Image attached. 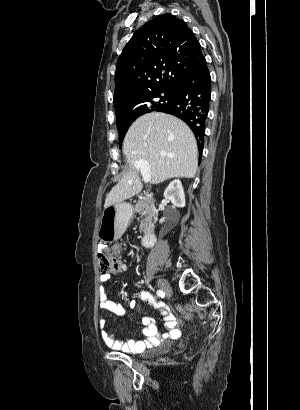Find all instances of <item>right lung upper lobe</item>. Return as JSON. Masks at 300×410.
<instances>
[{
    "label": "right lung upper lobe",
    "instance_id": "cb5924a9",
    "mask_svg": "<svg viewBox=\"0 0 300 410\" xmlns=\"http://www.w3.org/2000/svg\"><path fill=\"white\" fill-rule=\"evenodd\" d=\"M204 58L187 24L171 14L157 16L127 43L115 73L117 120L136 116L139 99L175 89L179 80Z\"/></svg>",
    "mask_w": 300,
    "mask_h": 410
}]
</instances>
